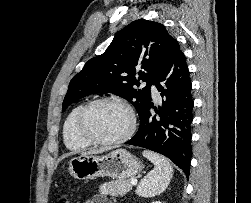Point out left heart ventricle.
Wrapping results in <instances>:
<instances>
[{
  "label": "left heart ventricle",
  "mask_w": 251,
  "mask_h": 203,
  "mask_svg": "<svg viewBox=\"0 0 251 203\" xmlns=\"http://www.w3.org/2000/svg\"><path fill=\"white\" fill-rule=\"evenodd\" d=\"M129 127V116L123 107L114 103L97 104L85 119V129L93 137L111 140L123 135Z\"/></svg>",
  "instance_id": "left-heart-ventricle-1"
}]
</instances>
